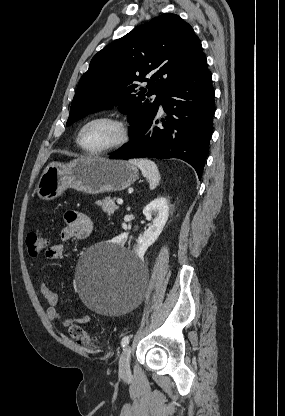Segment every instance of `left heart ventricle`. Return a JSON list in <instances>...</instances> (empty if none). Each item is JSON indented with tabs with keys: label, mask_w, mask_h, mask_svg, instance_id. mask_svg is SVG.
<instances>
[{
	"label": "left heart ventricle",
	"mask_w": 285,
	"mask_h": 416,
	"mask_svg": "<svg viewBox=\"0 0 285 416\" xmlns=\"http://www.w3.org/2000/svg\"><path fill=\"white\" fill-rule=\"evenodd\" d=\"M118 138L116 127L106 121L88 125L82 134V144L90 150H99L113 145Z\"/></svg>",
	"instance_id": "left-heart-ventricle-1"
}]
</instances>
